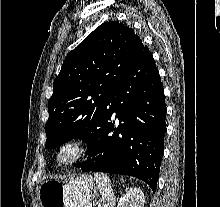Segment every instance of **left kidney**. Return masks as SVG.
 Returning <instances> with one entry per match:
<instances>
[{"mask_svg":"<svg viewBox=\"0 0 220 207\" xmlns=\"http://www.w3.org/2000/svg\"><path fill=\"white\" fill-rule=\"evenodd\" d=\"M144 194L138 188H130L120 198L117 207H144Z\"/></svg>","mask_w":220,"mask_h":207,"instance_id":"1","label":"left kidney"}]
</instances>
